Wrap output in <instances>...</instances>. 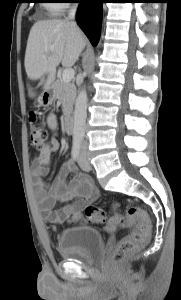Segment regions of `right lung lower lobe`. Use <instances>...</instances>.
Returning <instances> with one entry per match:
<instances>
[{
	"label": "right lung lower lobe",
	"instance_id": "98d812e1",
	"mask_svg": "<svg viewBox=\"0 0 181 300\" xmlns=\"http://www.w3.org/2000/svg\"><path fill=\"white\" fill-rule=\"evenodd\" d=\"M103 2L104 0H78L76 20L93 46L99 40Z\"/></svg>",
	"mask_w": 181,
	"mask_h": 300
}]
</instances>
